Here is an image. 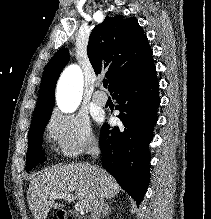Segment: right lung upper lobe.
I'll use <instances>...</instances> for the list:
<instances>
[{
	"label": "right lung upper lobe",
	"instance_id": "obj_1",
	"mask_svg": "<svg viewBox=\"0 0 211 219\" xmlns=\"http://www.w3.org/2000/svg\"><path fill=\"white\" fill-rule=\"evenodd\" d=\"M87 54L96 74L106 72L109 91L120 79L152 59L147 37L138 21L133 17L124 19L122 15L107 16L95 26L89 37ZM68 60L67 49H61L47 64L34 116L52 113L56 83Z\"/></svg>",
	"mask_w": 211,
	"mask_h": 219
}]
</instances>
